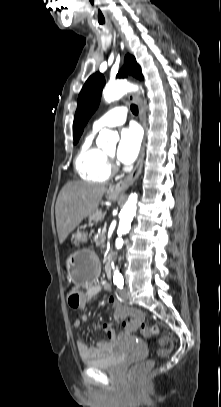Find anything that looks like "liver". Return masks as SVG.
Here are the masks:
<instances>
[{
    "mask_svg": "<svg viewBox=\"0 0 221 407\" xmlns=\"http://www.w3.org/2000/svg\"><path fill=\"white\" fill-rule=\"evenodd\" d=\"M105 192L109 193V190L103 185L81 181L68 182L64 185L55 206L60 244L66 240L84 218L98 209Z\"/></svg>",
    "mask_w": 221,
    "mask_h": 407,
    "instance_id": "6515ba94",
    "label": "liver"
}]
</instances>
